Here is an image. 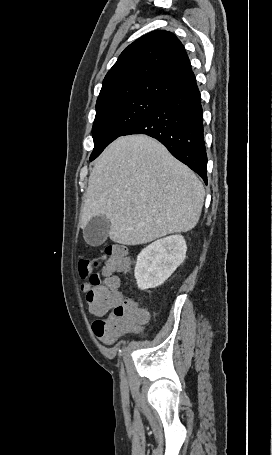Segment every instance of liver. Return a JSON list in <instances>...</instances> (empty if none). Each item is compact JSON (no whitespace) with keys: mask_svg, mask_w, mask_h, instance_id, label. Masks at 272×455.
I'll return each mask as SVG.
<instances>
[{"mask_svg":"<svg viewBox=\"0 0 272 455\" xmlns=\"http://www.w3.org/2000/svg\"><path fill=\"white\" fill-rule=\"evenodd\" d=\"M204 197L195 173L161 143L146 135L119 137L90 173L80 225L106 216L113 242L140 245L193 229Z\"/></svg>","mask_w":272,"mask_h":455,"instance_id":"obj_1","label":"liver"}]
</instances>
